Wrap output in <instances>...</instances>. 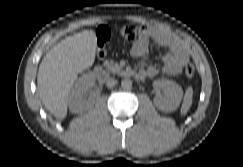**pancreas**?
I'll list each match as a JSON object with an SVG mask.
<instances>
[{
    "label": "pancreas",
    "instance_id": "1",
    "mask_svg": "<svg viewBox=\"0 0 243 167\" xmlns=\"http://www.w3.org/2000/svg\"><path fill=\"white\" fill-rule=\"evenodd\" d=\"M103 65L108 72L117 73V74L122 72L121 66L112 60L104 61Z\"/></svg>",
    "mask_w": 243,
    "mask_h": 167
}]
</instances>
